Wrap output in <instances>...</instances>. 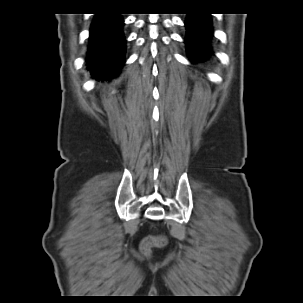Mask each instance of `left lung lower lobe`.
I'll use <instances>...</instances> for the list:
<instances>
[{
    "mask_svg": "<svg viewBox=\"0 0 303 303\" xmlns=\"http://www.w3.org/2000/svg\"><path fill=\"white\" fill-rule=\"evenodd\" d=\"M186 28L190 56L196 60L204 58L209 54V41L212 36L209 15L207 13L188 14Z\"/></svg>",
    "mask_w": 303,
    "mask_h": 303,
    "instance_id": "obj_1",
    "label": "left lung lower lobe"
}]
</instances>
